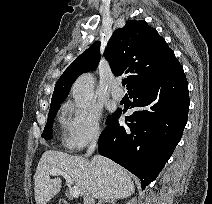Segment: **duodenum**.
I'll use <instances>...</instances> for the list:
<instances>
[{"mask_svg":"<svg viewBox=\"0 0 212 204\" xmlns=\"http://www.w3.org/2000/svg\"><path fill=\"white\" fill-rule=\"evenodd\" d=\"M60 204H70V203H68V202L65 201V200H61V201H60Z\"/></svg>","mask_w":212,"mask_h":204,"instance_id":"duodenum-1","label":"duodenum"}]
</instances>
